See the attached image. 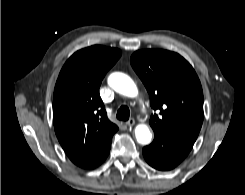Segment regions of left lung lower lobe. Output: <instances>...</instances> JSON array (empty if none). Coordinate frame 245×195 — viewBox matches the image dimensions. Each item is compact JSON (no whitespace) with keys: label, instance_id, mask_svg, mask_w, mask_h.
Here are the masks:
<instances>
[{"label":"left lung lower lobe","instance_id":"1","mask_svg":"<svg viewBox=\"0 0 245 195\" xmlns=\"http://www.w3.org/2000/svg\"><path fill=\"white\" fill-rule=\"evenodd\" d=\"M154 141L143 148V155L150 166L167 171L180 164L191 151L194 142L168 132H156Z\"/></svg>","mask_w":245,"mask_h":195}]
</instances>
